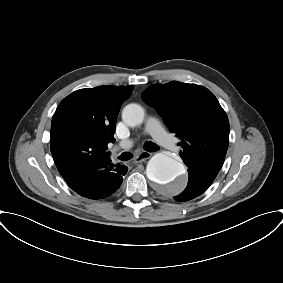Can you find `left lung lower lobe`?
<instances>
[{
  "label": "left lung lower lobe",
  "mask_w": 283,
  "mask_h": 283,
  "mask_svg": "<svg viewBox=\"0 0 283 283\" xmlns=\"http://www.w3.org/2000/svg\"><path fill=\"white\" fill-rule=\"evenodd\" d=\"M188 174V185L180 195L174 198L177 201L184 202L201 195L208 189L215 179L213 176L197 172L193 169H188Z\"/></svg>",
  "instance_id": "left-lung-lower-lobe-1"
}]
</instances>
